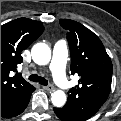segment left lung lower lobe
I'll list each match as a JSON object with an SVG mask.
<instances>
[{
	"label": "left lung lower lobe",
	"mask_w": 121,
	"mask_h": 121,
	"mask_svg": "<svg viewBox=\"0 0 121 121\" xmlns=\"http://www.w3.org/2000/svg\"><path fill=\"white\" fill-rule=\"evenodd\" d=\"M56 115L63 121H79L73 118L69 113H67L63 108H54Z\"/></svg>",
	"instance_id": "1"
}]
</instances>
